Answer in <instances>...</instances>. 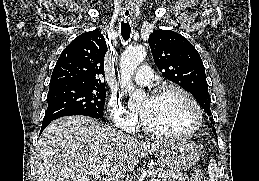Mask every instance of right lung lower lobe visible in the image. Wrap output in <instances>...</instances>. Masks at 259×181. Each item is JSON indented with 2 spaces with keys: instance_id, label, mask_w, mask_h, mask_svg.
Returning <instances> with one entry per match:
<instances>
[{
  "instance_id": "98d812e1",
  "label": "right lung lower lobe",
  "mask_w": 259,
  "mask_h": 181,
  "mask_svg": "<svg viewBox=\"0 0 259 181\" xmlns=\"http://www.w3.org/2000/svg\"><path fill=\"white\" fill-rule=\"evenodd\" d=\"M69 115H85V116H90V117H93V118H98L94 115H90V114H84V113H72V114H69ZM69 115H66V116H69ZM51 121L49 122H46V123H42V127H41V131H40V134L42 133V131L46 128V126L50 123Z\"/></svg>"
}]
</instances>
